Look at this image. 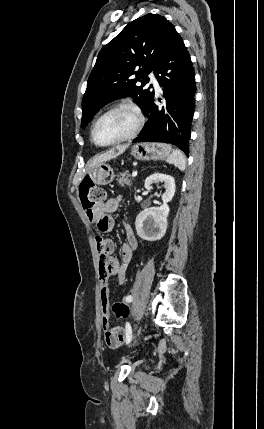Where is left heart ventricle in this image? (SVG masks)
<instances>
[{
    "instance_id": "1",
    "label": "left heart ventricle",
    "mask_w": 264,
    "mask_h": 429,
    "mask_svg": "<svg viewBox=\"0 0 264 429\" xmlns=\"http://www.w3.org/2000/svg\"><path fill=\"white\" fill-rule=\"evenodd\" d=\"M134 117L124 111L114 112L104 117L97 125L95 138L106 144L128 135L134 128Z\"/></svg>"
}]
</instances>
